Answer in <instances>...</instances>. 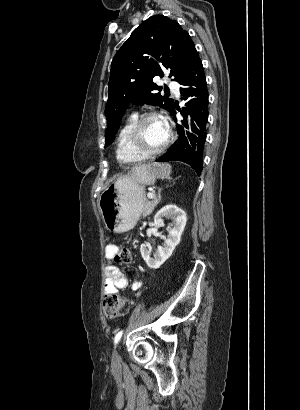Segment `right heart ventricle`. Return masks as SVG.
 Returning <instances> with one entry per match:
<instances>
[{"mask_svg":"<svg viewBox=\"0 0 300 410\" xmlns=\"http://www.w3.org/2000/svg\"><path fill=\"white\" fill-rule=\"evenodd\" d=\"M137 117L135 113L129 115L118 132L116 138V157L120 162L134 164L146 159V157L137 153L129 142V131Z\"/></svg>","mask_w":300,"mask_h":410,"instance_id":"1","label":"right heart ventricle"}]
</instances>
